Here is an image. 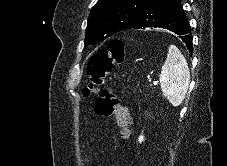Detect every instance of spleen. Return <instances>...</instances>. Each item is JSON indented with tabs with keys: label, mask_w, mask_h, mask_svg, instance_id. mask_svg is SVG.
<instances>
[{
	"label": "spleen",
	"mask_w": 227,
	"mask_h": 166,
	"mask_svg": "<svg viewBox=\"0 0 227 166\" xmlns=\"http://www.w3.org/2000/svg\"><path fill=\"white\" fill-rule=\"evenodd\" d=\"M159 80L163 95L169 103L174 107L181 105L188 90L190 72L186 59L175 45L168 48Z\"/></svg>",
	"instance_id": "spleen-1"
}]
</instances>
